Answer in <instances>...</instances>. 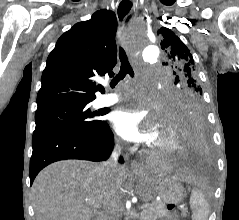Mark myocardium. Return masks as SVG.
Instances as JSON below:
<instances>
[{
    "label": "myocardium",
    "instance_id": "myocardium-1",
    "mask_svg": "<svg viewBox=\"0 0 239 220\" xmlns=\"http://www.w3.org/2000/svg\"><path fill=\"white\" fill-rule=\"evenodd\" d=\"M163 130L167 136L166 141L162 144L148 145L147 151L150 154L161 155V154H172L180 148V137L177 131L170 125L163 127Z\"/></svg>",
    "mask_w": 239,
    "mask_h": 220
}]
</instances>
